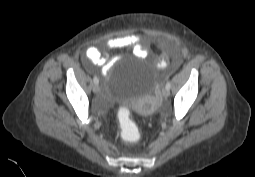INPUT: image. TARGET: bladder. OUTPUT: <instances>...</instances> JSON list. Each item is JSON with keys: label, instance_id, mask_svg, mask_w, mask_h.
<instances>
[{"label": "bladder", "instance_id": "obj_1", "mask_svg": "<svg viewBox=\"0 0 255 177\" xmlns=\"http://www.w3.org/2000/svg\"><path fill=\"white\" fill-rule=\"evenodd\" d=\"M127 69L130 71L123 75ZM158 70L157 63L142 57L130 62H120L106 77V94L114 102L127 104L147 113V104L142 99L152 93Z\"/></svg>", "mask_w": 255, "mask_h": 177}]
</instances>
